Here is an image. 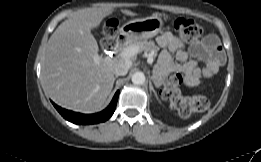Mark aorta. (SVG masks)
Masks as SVG:
<instances>
[{"instance_id":"obj_1","label":"aorta","mask_w":261,"mask_h":162,"mask_svg":"<svg viewBox=\"0 0 261 162\" xmlns=\"http://www.w3.org/2000/svg\"><path fill=\"white\" fill-rule=\"evenodd\" d=\"M132 82L141 85L145 82V75L143 72H136L132 75Z\"/></svg>"}]
</instances>
